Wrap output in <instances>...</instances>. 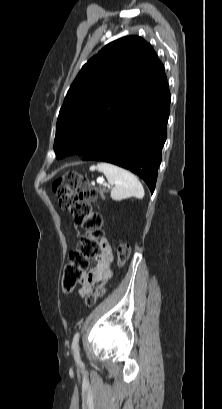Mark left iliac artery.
Segmentation results:
<instances>
[{
	"label": "left iliac artery",
	"mask_w": 222,
	"mask_h": 409,
	"mask_svg": "<svg viewBox=\"0 0 222 409\" xmlns=\"http://www.w3.org/2000/svg\"><path fill=\"white\" fill-rule=\"evenodd\" d=\"M79 332H76L74 337H73V341H72V351L74 354V358L79 361L80 360V354H79Z\"/></svg>",
	"instance_id": "1"
}]
</instances>
